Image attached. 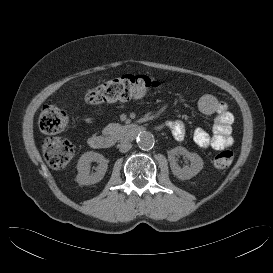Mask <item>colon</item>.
<instances>
[{"label": "colon", "instance_id": "obj_1", "mask_svg": "<svg viewBox=\"0 0 273 273\" xmlns=\"http://www.w3.org/2000/svg\"><path fill=\"white\" fill-rule=\"evenodd\" d=\"M159 83L147 76L126 75L109 79L89 89L86 101L90 104L127 101L140 97L157 88ZM68 124L67 113L57 105L45 106L39 117V127L46 134H56L63 131ZM48 165L59 169L66 166L74 155L73 144L63 138L53 137L45 140L42 146ZM234 159L231 150L219 152L214 159L217 168H228Z\"/></svg>", "mask_w": 273, "mask_h": 273}]
</instances>
